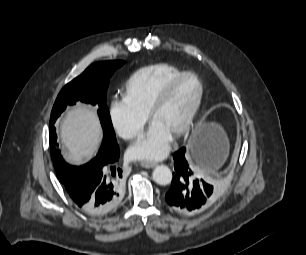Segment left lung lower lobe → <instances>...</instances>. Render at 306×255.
<instances>
[{
  "label": "left lung lower lobe",
  "mask_w": 306,
  "mask_h": 255,
  "mask_svg": "<svg viewBox=\"0 0 306 255\" xmlns=\"http://www.w3.org/2000/svg\"><path fill=\"white\" fill-rule=\"evenodd\" d=\"M189 153L192 154L191 148ZM219 154L218 147L209 145L208 149L201 155L200 164H210ZM175 161V172L170 190L165 196L167 204L176 212L192 215L204 210L212 201L215 193L213 185L203 179H192L191 163L183 147L173 155Z\"/></svg>",
  "instance_id": "obj_1"
}]
</instances>
